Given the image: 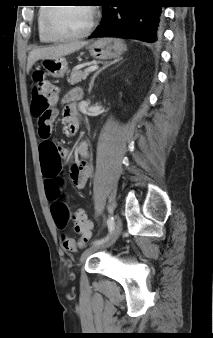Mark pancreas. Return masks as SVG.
I'll list each match as a JSON object with an SVG mask.
<instances>
[{
	"instance_id": "pancreas-1",
	"label": "pancreas",
	"mask_w": 213,
	"mask_h": 338,
	"mask_svg": "<svg viewBox=\"0 0 213 338\" xmlns=\"http://www.w3.org/2000/svg\"><path fill=\"white\" fill-rule=\"evenodd\" d=\"M88 75H89V72H85L81 70L74 71L70 74V77L67 78V81L69 84L74 85V84L81 82L82 80H85Z\"/></svg>"
}]
</instances>
